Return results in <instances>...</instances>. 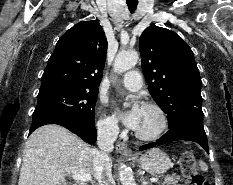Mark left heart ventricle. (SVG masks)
<instances>
[{
  "label": "left heart ventricle",
  "mask_w": 233,
  "mask_h": 185,
  "mask_svg": "<svg viewBox=\"0 0 233 185\" xmlns=\"http://www.w3.org/2000/svg\"><path fill=\"white\" fill-rule=\"evenodd\" d=\"M160 125V118L158 114L150 109L142 108L139 124L136 128V132L140 134H152Z\"/></svg>",
  "instance_id": "left-heart-ventricle-1"
}]
</instances>
